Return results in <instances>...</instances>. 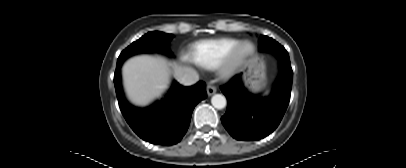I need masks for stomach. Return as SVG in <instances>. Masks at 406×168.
Listing matches in <instances>:
<instances>
[{"instance_id":"obj_1","label":"stomach","mask_w":406,"mask_h":168,"mask_svg":"<svg viewBox=\"0 0 406 168\" xmlns=\"http://www.w3.org/2000/svg\"><path fill=\"white\" fill-rule=\"evenodd\" d=\"M265 64L259 58H253L247 63V71L244 76L246 86L253 92L260 90L265 80Z\"/></svg>"}]
</instances>
